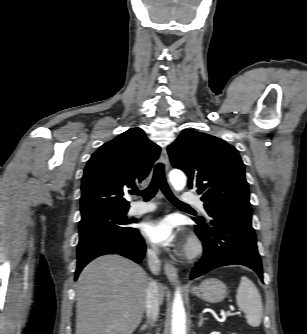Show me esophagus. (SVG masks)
I'll list each match as a JSON object with an SVG mask.
<instances>
[{
	"label": "esophagus",
	"mask_w": 307,
	"mask_h": 334,
	"mask_svg": "<svg viewBox=\"0 0 307 334\" xmlns=\"http://www.w3.org/2000/svg\"><path fill=\"white\" fill-rule=\"evenodd\" d=\"M161 161L164 164L165 170L167 172L170 168V162L166 148H163L161 151ZM164 271L169 281L171 283H175L177 279V270L175 266L171 262L166 261L164 263Z\"/></svg>",
	"instance_id": "1"
}]
</instances>
